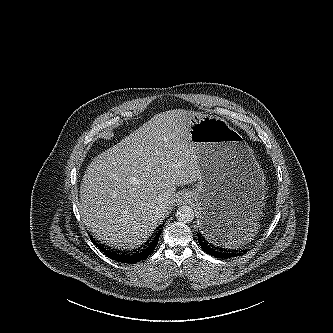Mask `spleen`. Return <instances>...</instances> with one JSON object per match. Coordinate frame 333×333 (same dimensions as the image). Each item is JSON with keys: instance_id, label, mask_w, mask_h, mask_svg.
I'll return each instance as SVG.
<instances>
[{"instance_id": "spleen-1", "label": "spleen", "mask_w": 333, "mask_h": 333, "mask_svg": "<svg viewBox=\"0 0 333 333\" xmlns=\"http://www.w3.org/2000/svg\"><path fill=\"white\" fill-rule=\"evenodd\" d=\"M256 226L249 229L230 230L225 235L228 239L227 245L235 246L241 243L248 242L253 236Z\"/></svg>"}]
</instances>
